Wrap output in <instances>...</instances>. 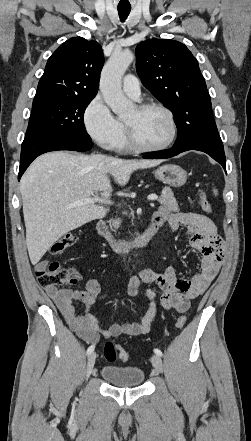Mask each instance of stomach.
I'll use <instances>...</instances> for the list:
<instances>
[{
  "label": "stomach",
  "mask_w": 251,
  "mask_h": 441,
  "mask_svg": "<svg viewBox=\"0 0 251 441\" xmlns=\"http://www.w3.org/2000/svg\"><path fill=\"white\" fill-rule=\"evenodd\" d=\"M155 177L172 187H180L186 183L187 172L178 165L167 164L154 171Z\"/></svg>",
  "instance_id": "obj_1"
}]
</instances>
